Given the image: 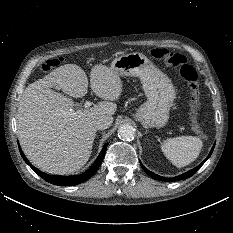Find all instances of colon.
Segmentation results:
<instances>
[{"mask_svg":"<svg viewBox=\"0 0 233 233\" xmlns=\"http://www.w3.org/2000/svg\"><path fill=\"white\" fill-rule=\"evenodd\" d=\"M150 54L155 59L163 60L167 65L178 69L180 77L187 83L190 91L189 107L191 127L197 135L204 136L201 125L198 121V112L200 108V90L196 70L188 63L184 55L170 52L166 48H153L150 51ZM62 61L63 58L61 57L50 59L43 62L41 68L43 71H50L53 68L59 66Z\"/></svg>","mask_w":233,"mask_h":233,"instance_id":"colon-1","label":"colon"}]
</instances>
